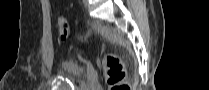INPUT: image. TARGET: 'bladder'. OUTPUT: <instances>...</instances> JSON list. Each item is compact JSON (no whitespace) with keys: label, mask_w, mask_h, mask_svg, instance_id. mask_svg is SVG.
<instances>
[{"label":"bladder","mask_w":209,"mask_h":90,"mask_svg":"<svg viewBox=\"0 0 209 90\" xmlns=\"http://www.w3.org/2000/svg\"><path fill=\"white\" fill-rule=\"evenodd\" d=\"M61 69L66 78H73L76 80H83L85 78L84 68L80 63L64 61Z\"/></svg>","instance_id":"1"}]
</instances>
